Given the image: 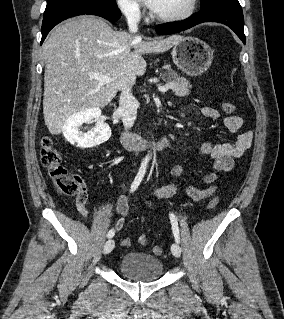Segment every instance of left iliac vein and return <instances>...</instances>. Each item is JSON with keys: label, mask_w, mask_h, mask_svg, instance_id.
I'll return each instance as SVG.
<instances>
[{"label": "left iliac vein", "mask_w": 284, "mask_h": 319, "mask_svg": "<svg viewBox=\"0 0 284 319\" xmlns=\"http://www.w3.org/2000/svg\"><path fill=\"white\" fill-rule=\"evenodd\" d=\"M171 252H172V254L175 257L179 258L181 256V248H180V246L177 243H173L171 245Z\"/></svg>", "instance_id": "obj_1"}]
</instances>
